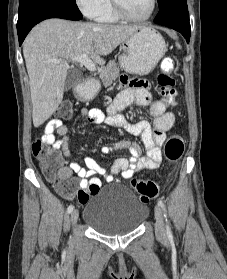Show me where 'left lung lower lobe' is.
<instances>
[{
	"mask_svg": "<svg viewBox=\"0 0 227 279\" xmlns=\"http://www.w3.org/2000/svg\"><path fill=\"white\" fill-rule=\"evenodd\" d=\"M154 22L180 32L186 41H190V22L187 2L172 1L160 9Z\"/></svg>",
	"mask_w": 227,
	"mask_h": 279,
	"instance_id": "0a47b994",
	"label": "left lung lower lobe"
}]
</instances>
